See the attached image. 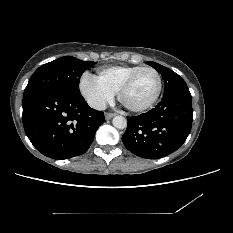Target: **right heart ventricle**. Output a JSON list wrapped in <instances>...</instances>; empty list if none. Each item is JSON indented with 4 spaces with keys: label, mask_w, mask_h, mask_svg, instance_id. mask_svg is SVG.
<instances>
[{
    "label": "right heart ventricle",
    "mask_w": 233,
    "mask_h": 233,
    "mask_svg": "<svg viewBox=\"0 0 233 233\" xmlns=\"http://www.w3.org/2000/svg\"><path fill=\"white\" fill-rule=\"evenodd\" d=\"M141 68H143V66H112L101 69L94 79L114 95L124 81Z\"/></svg>",
    "instance_id": "1"
}]
</instances>
